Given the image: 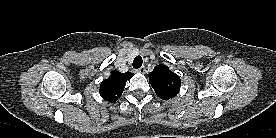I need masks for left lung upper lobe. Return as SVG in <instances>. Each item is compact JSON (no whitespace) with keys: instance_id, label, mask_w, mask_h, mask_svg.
<instances>
[{"instance_id":"5c2ea615","label":"left lung upper lobe","mask_w":276,"mask_h":138,"mask_svg":"<svg viewBox=\"0 0 276 138\" xmlns=\"http://www.w3.org/2000/svg\"><path fill=\"white\" fill-rule=\"evenodd\" d=\"M149 81L157 96L163 100H169L175 97L181 86L179 76L163 64L157 65L149 73Z\"/></svg>"}]
</instances>
